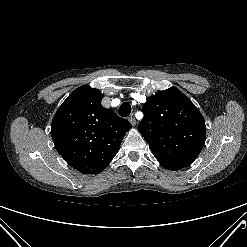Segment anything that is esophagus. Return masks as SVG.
I'll list each match as a JSON object with an SVG mask.
<instances>
[{"mask_svg":"<svg viewBox=\"0 0 247 247\" xmlns=\"http://www.w3.org/2000/svg\"><path fill=\"white\" fill-rule=\"evenodd\" d=\"M129 122L131 123L132 126H135L136 125V120L134 117H130L129 118Z\"/></svg>","mask_w":247,"mask_h":247,"instance_id":"obj_1","label":"esophagus"}]
</instances>
